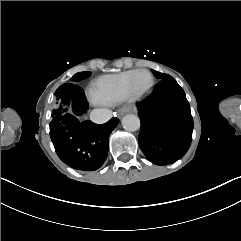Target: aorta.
Here are the masks:
<instances>
[{"label": "aorta", "instance_id": "1", "mask_svg": "<svg viewBox=\"0 0 241 241\" xmlns=\"http://www.w3.org/2000/svg\"><path fill=\"white\" fill-rule=\"evenodd\" d=\"M140 119L134 114H128L122 119V126L126 131L134 132L140 128Z\"/></svg>", "mask_w": 241, "mask_h": 241}]
</instances>
